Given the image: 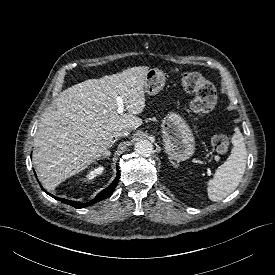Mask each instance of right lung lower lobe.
Segmentation results:
<instances>
[{"label": "right lung lower lobe", "mask_w": 275, "mask_h": 275, "mask_svg": "<svg viewBox=\"0 0 275 275\" xmlns=\"http://www.w3.org/2000/svg\"><path fill=\"white\" fill-rule=\"evenodd\" d=\"M119 177H120V172L117 169V176H116L115 180L111 183V185L108 186L103 191H101L93 200H91V201H89L87 203H80V202H76V201L66 200V199H63V198H57L54 195H51L50 193L46 192L45 190L44 191L47 194H49L50 196H52L54 199L59 200V201L64 202V203H66L68 205H71V206H73L75 208L80 209V208H84V207L93 205L94 203L99 202V201H101V200L109 197L113 193L115 187L117 186V183L119 181Z\"/></svg>", "instance_id": "right-lung-lower-lobe-1"}]
</instances>
